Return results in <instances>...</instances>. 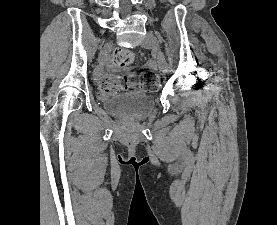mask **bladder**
<instances>
[{
  "label": "bladder",
  "mask_w": 277,
  "mask_h": 225,
  "mask_svg": "<svg viewBox=\"0 0 277 225\" xmlns=\"http://www.w3.org/2000/svg\"><path fill=\"white\" fill-rule=\"evenodd\" d=\"M154 106L153 95L140 90L114 95L105 103L110 113L132 119L146 117L152 112Z\"/></svg>",
  "instance_id": "obj_1"
}]
</instances>
